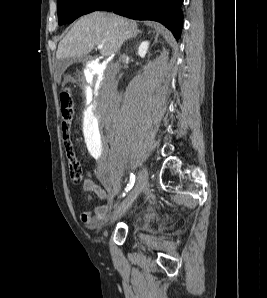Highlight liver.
I'll list each match as a JSON object with an SVG mask.
<instances>
[{
  "mask_svg": "<svg viewBox=\"0 0 267 298\" xmlns=\"http://www.w3.org/2000/svg\"><path fill=\"white\" fill-rule=\"evenodd\" d=\"M137 31V23L106 12H93L81 17L60 41L56 58H75L89 54L96 45L102 56L118 52L123 43Z\"/></svg>",
  "mask_w": 267,
  "mask_h": 298,
  "instance_id": "1",
  "label": "liver"
}]
</instances>
